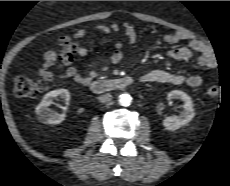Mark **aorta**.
Segmentation results:
<instances>
[{"label": "aorta", "mask_w": 230, "mask_h": 186, "mask_svg": "<svg viewBox=\"0 0 230 186\" xmlns=\"http://www.w3.org/2000/svg\"><path fill=\"white\" fill-rule=\"evenodd\" d=\"M132 102V98L129 94H121L119 96V103L122 106H129Z\"/></svg>", "instance_id": "aorta-1"}]
</instances>
